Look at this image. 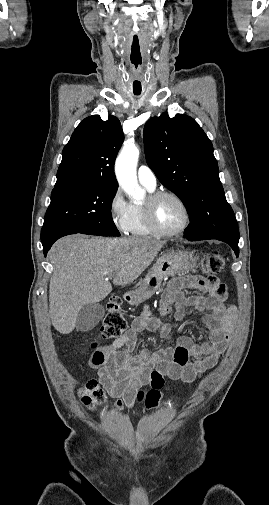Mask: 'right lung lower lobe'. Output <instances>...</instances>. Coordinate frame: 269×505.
<instances>
[{"label":"right lung lower lobe","instance_id":"1","mask_svg":"<svg viewBox=\"0 0 269 505\" xmlns=\"http://www.w3.org/2000/svg\"><path fill=\"white\" fill-rule=\"evenodd\" d=\"M74 233H78V232L72 231V230H59V231L53 232L49 236L45 237L42 240L44 255L46 256L48 250L51 248L52 244L57 239H59L63 236L69 235V234H74Z\"/></svg>","mask_w":269,"mask_h":505}]
</instances>
